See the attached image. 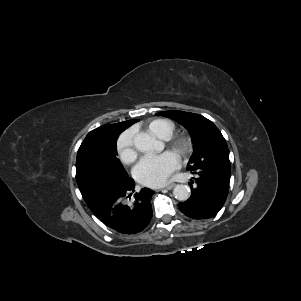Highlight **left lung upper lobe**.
<instances>
[{"label":"left lung upper lobe","instance_id":"obj_1","mask_svg":"<svg viewBox=\"0 0 301 301\" xmlns=\"http://www.w3.org/2000/svg\"><path fill=\"white\" fill-rule=\"evenodd\" d=\"M158 116L175 120L187 128L193 143L188 170L212 169L231 173L229 151L219 129L207 118L183 111H162Z\"/></svg>","mask_w":301,"mask_h":301}]
</instances>
